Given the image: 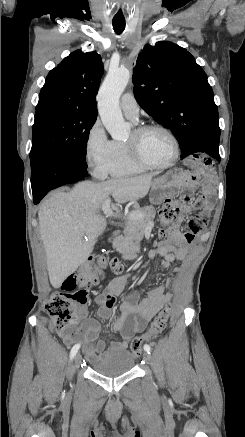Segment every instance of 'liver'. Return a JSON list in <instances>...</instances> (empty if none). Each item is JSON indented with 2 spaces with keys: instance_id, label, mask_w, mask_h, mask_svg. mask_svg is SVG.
<instances>
[{
  "instance_id": "6515ba94",
  "label": "liver",
  "mask_w": 245,
  "mask_h": 437,
  "mask_svg": "<svg viewBox=\"0 0 245 437\" xmlns=\"http://www.w3.org/2000/svg\"><path fill=\"white\" fill-rule=\"evenodd\" d=\"M156 173L105 182L84 181L70 192H54L39 208V229L46 252L50 283L59 288L91 254L107 226L99 213L112 196L116 210L127 202L144 198Z\"/></svg>"
}]
</instances>
